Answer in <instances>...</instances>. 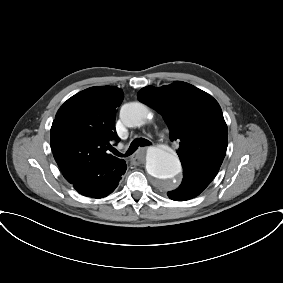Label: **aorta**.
<instances>
[{
	"label": "aorta",
	"instance_id": "aorta-1",
	"mask_svg": "<svg viewBox=\"0 0 283 283\" xmlns=\"http://www.w3.org/2000/svg\"><path fill=\"white\" fill-rule=\"evenodd\" d=\"M149 114L148 107L140 102L128 103L121 108V119L128 127L143 125ZM146 170L163 188L169 190L178 185L176 176L181 172V164L176 154L169 149L151 147L147 151Z\"/></svg>",
	"mask_w": 283,
	"mask_h": 283
}]
</instances>
